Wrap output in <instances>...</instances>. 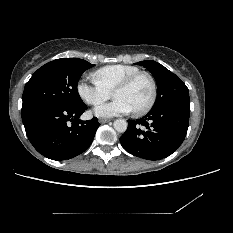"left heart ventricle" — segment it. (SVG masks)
<instances>
[{
    "label": "left heart ventricle",
    "mask_w": 233,
    "mask_h": 233,
    "mask_svg": "<svg viewBox=\"0 0 233 233\" xmlns=\"http://www.w3.org/2000/svg\"><path fill=\"white\" fill-rule=\"evenodd\" d=\"M151 95L150 82L145 77H140L129 87L119 90L114 94V98H121L128 102L133 110L144 107Z\"/></svg>",
    "instance_id": "obj_1"
}]
</instances>
